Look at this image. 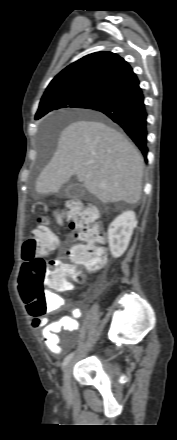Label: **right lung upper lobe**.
I'll use <instances>...</instances> for the list:
<instances>
[{"label":"right lung upper lobe","instance_id":"cb5924a9","mask_svg":"<svg viewBox=\"0 0 177 440\" xmlns=\"http://www.w3.org/2000/svg\"><path fill=\"white\" fill-rule=\"evenodd\" d=\"M136 79L132 68L123 58L112 52H96L72 63L55 76L41 101L67 91L102 97Z\"/></svg>","mask_w":177,"mask_h":440}]
</instances>
